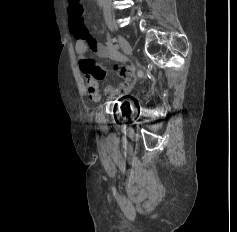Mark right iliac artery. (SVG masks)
Masks as SVG:
<instances>
[{"label": "right iliac artery", "mask_w": 237, "mask_h": 232, "mask_svg": "<svg viewBox=\"0 0 237 232\" xmlns=\"http://www.w3.org/2000/svg\"><path fill=\"white\" fill-rule=\"evenodd\" d=\"M114 49L118 50L119 49V46L116 44L114 45Z\"/></svg>", "instance_id": "1"}]
</instances>
